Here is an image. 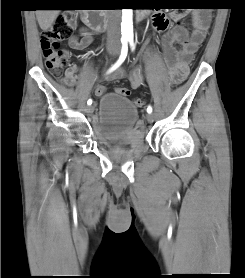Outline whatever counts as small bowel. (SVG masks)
<instances>
[{"mask_svg":"<svg viewBox=\"0 0 245 278\" xmlns=\"http://www.w3.org/2000/svg\"><path fill=\"white\" fill-rule=\"evenodd\" d=\"M183 12L177 11L170 17L164 14H155L152 17L153 26L158 32H165L171 25V22H178ZM193 30L188 31L186 27L178 24L176 27L165 32L161 39L162 50L165 55L170 77L185 78L189 73V66L193 60L199 46L203 43L207 34L206 24L209 19V13L202 9L192 11ZM93 41L92 35L86 30L80 31V37L72 36L68 40L70 48L74 50H83L87 48ZM179 44L181 48L178 50L175 45ZM79 67L77 65L69 66L65 71L64 83L68 86H74L78 80ZM110 72V71H109ZM112 77L127 76L133 88H138L143 82V75L139 68L126 73L122 68H115L111 71ZM105 90L99 86L96 89L97 95H103Z\"/></svg>","mask_w":245,"mask_h":278,"instance_id":"1","label":"small bowel"}]
</instances>
